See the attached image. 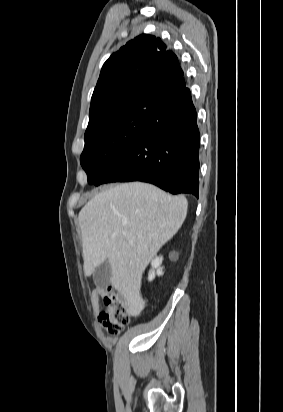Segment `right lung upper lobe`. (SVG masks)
<instances>
[{"instance_id":"cb5924a9","label":"right lung upper lobe","mask_w":283,"mask_h":412,"mask_svg":"<svg viewBox=\"0 0 283 412\" xmlns=\"http://www.w3.org/2000/svg\"><path fill=\"white\" fill-rule=\"evenodd\" d=\"M185 87L176 55L159 38L140 35L104 63L91 99L88 128L134 104L164 106Z\"/></svg>"}]
</instances>
